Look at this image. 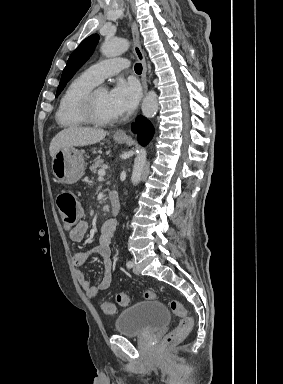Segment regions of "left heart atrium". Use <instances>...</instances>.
<instances>
[{"label":"left heart atrium","mask_w":283,"mask_h":384,"mask_svg":"<svg viewBox=\"0 0 283 384\" xmlns=\"http://www.w3.org/2000/svg\"><path fill=\"white\" fill-rule=\"evenodd\" d=\"M139 95V88L134 82L118 80L108 91L112 112L117 116L131 113L138 102Z\"/></svg>","instance_id":"39dd6f15"}]
</instances>
